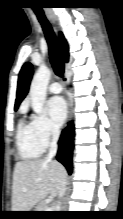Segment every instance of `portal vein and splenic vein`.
I'll list each match as a JSON object with an SVG mask.
<instances>
[{"mask_svg": "<svg viewBox=\"0 0 123 219\" xmlns=\"http://www.w3.org/2000/svg\"><path fill=\"white\" fill-rule=\"evenodd\" d=\"M45 211H51V209H50V208H48V207H46V208H45Z\"/></svg>", "mask_w": 123, "mask_h": 219, "instance_id": "portal-vein-and-splenic-vein-1", "label": "portal vein and splenic vein"}]
</instances>
